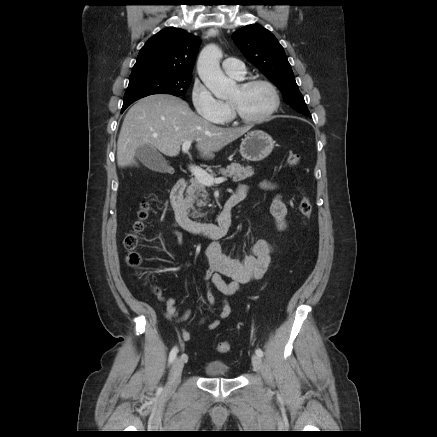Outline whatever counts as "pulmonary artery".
<instances>
[{
  "label": "pulmonary artery",
  "instance_id": "obj_1",
  "mask_svg": "<svg viewBox=\"0 0 437 437\" xmlns=\"http://www.w3.org/2000/svg\"><path fill=\"white\" fill-rule=\"evenodd\" d=\"M224 72L236 79H242L245 75L244 64L236 58H227L222 63Z\"/></svg>",
  "mask_w": 437,
  "mask_h": 437
}]
</instances>
